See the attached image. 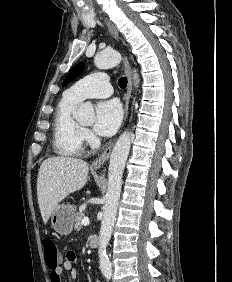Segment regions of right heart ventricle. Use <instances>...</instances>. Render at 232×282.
Segmentation results:
<instances>
[{"instance_id":"1","label":"right heart ventricle","mask_w":232,"mask_h":282,"mask_svg":"<svg viewBox=\"0 0 232 282\" xmlns=\"http://www.w3.org/2000/svg\"><path fill=\"white\" fill-rule=\"evenodd\" d=\"M79 102L64 93L57 103L53 116L52 145L54 152L60 156H76L82 151L84 130L73 117Z\"/></svg>"}]
</instances>
